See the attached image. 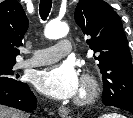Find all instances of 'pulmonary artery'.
Instances as JSON below:
<instances>
[{
  "instance_id": "1",
  "label": "pulmonary artery",
  "mask_w": 133,
  "mask_h": 118,
  "mask_svg": "<svg viewBox=\"0 0 133 118\" xmlns=\"http://www.w3.org/2000/svg\"><path fill=\"white\" fill-rule=\"evenodd\" d=\"M71 49L72 44L69 40H59L56 44L50 47L35 50L33 52V57L24 61L23 66L35 67L56 62L68 55Z\"/></svg>"
}]
</instances>
